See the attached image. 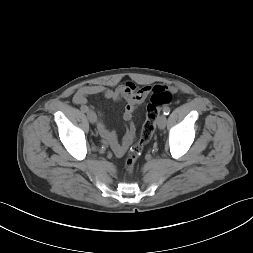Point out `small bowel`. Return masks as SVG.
I'll return each instance as SVG.
<instances>
[{
	"instance_id": "1",
	"label": "small bowel",
	"mask_w": 253,
	"mask_h": 253,
	"mask_svg": "<svg viewBox=\"0 0 253 253\" xmlns=\"http://www.w3.org/2000/svg\"><path fill=\"white\" fill-rule=\"evenodd\" d=\"M154 87H137L133 82H125L116 89L103 85H86L80 87L73 96V102L81 107L87 106L88 97L103 95L106 99L117 101L123 98L127 104L123 114L124 120L128 123L126 133L121 142L118 141L116 133L110 130L102 117H100L97 129L103 139L111 146L115 155L121 157L132 144L136 135V127L133 123V114L136 108L153 92Z\"/></svg>"
}]
</instances>
